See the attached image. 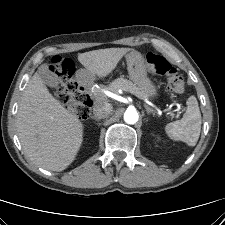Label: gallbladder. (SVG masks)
<instances>
[{
    "label": "gallbladder",
    "mask_w": 225,
    "mask_h": 225,
    "mask_svg": "<svg viewBox=\"0 0 225 225\" xmlns=\"http://www.w3.org/2000/svg\"><path fill=\"white\" fill-rule=\"evenodd\" d=\"M38 75L42 81L50 87H56L59 83L57 76L49 69L47 64H43L38 68Z\"/></svg>",
    "instance_id": "gallbladder-1"
}]
</instances>
